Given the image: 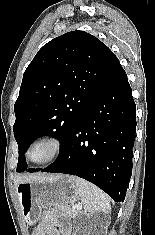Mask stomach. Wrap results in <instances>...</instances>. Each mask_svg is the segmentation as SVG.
I'll list each match as a JSON object with an SVG mask.
<instances>
[{
  "label": "stomach",
  "mask_w": 155,
  "mask_h": 235,
  "mask_svg": "<svg viewBox=\"0 0 155 235\" xmlns=\"http://www.w3.org/2000/svg\"><path fill=\"white\" fill-rule=\"evenodd\" d=\"M21 213L28 225L35 224L42 208L57 204H71L79 199L78 188L70 176L57 175L39 181L17 185Z\"/></svg>",
  "instance_id": "0dacf381"
}]
</instances>
